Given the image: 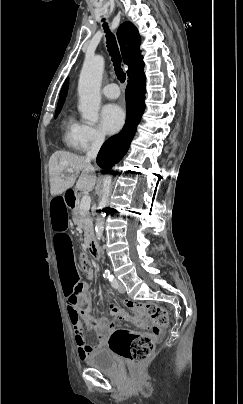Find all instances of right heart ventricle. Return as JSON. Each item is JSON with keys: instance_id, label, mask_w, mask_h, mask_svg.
Listing matches in <instances>:
<instances>
[{"instance_id": "obj_1", "label": "right heart ventricle", "mask_w": 243, "mask_h": 404, "mask_svg": "<svg viewBox=\"0 0 243 404\" xmlns=\"http://www.w3.org/2000/svg\"><path fill=\"white\" fill-rule=\"evenodd\" d=\"M76 123L77 122L72 115L68 114L64 117L62 141L68 147H70L71 138H72V134H73L74 128L76 126Z\"/></svg>"}]
</instances>
